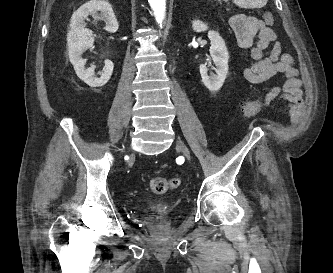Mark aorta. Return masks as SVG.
Here are the masks:
<instances>
[{
	"mask_svg": "<svg viewBox=\"0 0 333 273\" xmlns=\"http://www.w3.org/2000/svg\"><path fill=\"white\" fill-rule=\"evenodd\" d=\"M148 2L153 10L157 23L162 26L166 16V0H148Z\"/></svg>",
	"mask_w": 333,
	"mask_h": 273,
	"instance_id": "obj_1",
	"label": "aorta"
}]
</instances>
